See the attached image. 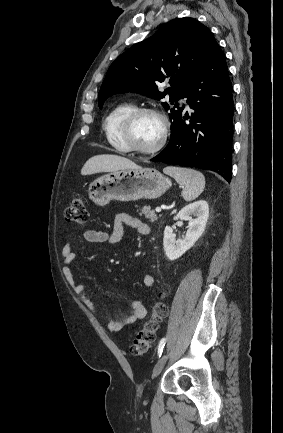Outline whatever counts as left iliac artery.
<instances>
[{"label":"left iliac artery","instance_id":"44dca946","mask_svg":"<svg viewBox=\"0 0 283 433\" xmlns=\"http://www.w3.org/2000/svg\"><path fill=\"white\" fill-rule=\"evenodd\" d=\"M165 343H166V338H162L161 341H160V343H159V346H158V356H159V358H160L161 355H162V352H163V348H164V346H165Z\"/></svg>","mask_w":283,"mask_h":433}]
</instances>
